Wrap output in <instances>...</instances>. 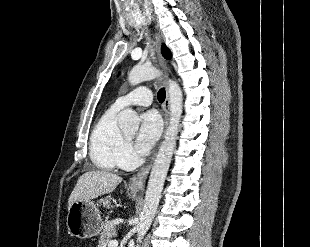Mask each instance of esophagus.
Instances as JSON below:
<instances>
[{
	"label": "esophagus",
	"instance_id": "1",
	"mask_svg": "<svg viewBox=\"0 0 310 247\" xmlns=\"http://www.w3.org/2000/svg\"><path fill=\"white\" fill-rule=\"evenodd\" d=\"M156 42H157V47H158V54H159V60L161 67L163 71L165 72L166 76L168 75V67L163 59V57L160 54V46L162 44V37L159 32H156ZM165 86H166V98L165 102L163 105L164 109V123H165V128L167 127L168 124V119H169V93H168V86L167 82L165 81ZM153 159L147 163L137 174H135L129 181V189L134 191V192H141L144 189L146 179L148 177L149 171L152 166Z\"/></svg>",
	"mask_w": 310,
	"mask_h": 247
}]
</instances>
